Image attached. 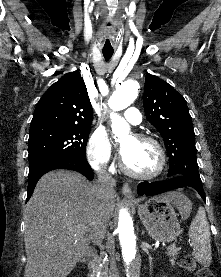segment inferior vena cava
Here are the masks:
<instances>
[{"mask_svg":"<svg viewBox=\"0 0 221 277\" xmlns=\"http://www.w3.org/2000/svg\"><path fill=\"white\" fill-rule=\"evenodd\" d=\"M98 177V186H99V195L103 202L108 200V198L115 192L114 188L116 186L115 179L109 174L106 168H101L97 171ZM107 253L109 254L110 258V269H111V276L110 277H119V273L117 270L116 262L114 259V251L111 248V245L107 246Z\"/></svg>","mask_w":221,"mask_h":277,"instance_id":"obj_1","label":"inferior vena cava"}]
</instances>
